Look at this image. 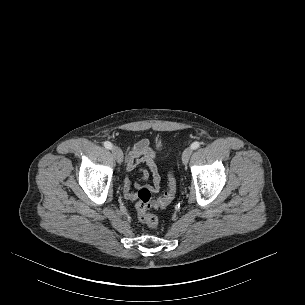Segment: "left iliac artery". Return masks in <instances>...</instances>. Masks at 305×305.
<instances>
[{
  "label": "left iliac artery",
  "mask_w": 305,
  "mask_h": 305,
  "mask_svg": "<svg viewBox=\"0 0 305 305\" xmlns=\"http://www.w3.org/2000/svg\"><path fill=\"white\" fill-rule=\"evenodd\" d=\"M200 147V142H198V141H195V142H193L192 144H191V148L193 149V150H195V149H197V148H199Z\"/></svg>",
  "instance_id": "left-iliac-artery-1"
}]
</instances>
